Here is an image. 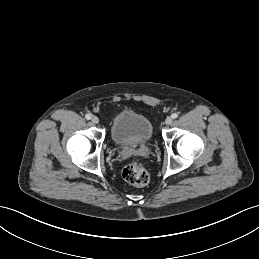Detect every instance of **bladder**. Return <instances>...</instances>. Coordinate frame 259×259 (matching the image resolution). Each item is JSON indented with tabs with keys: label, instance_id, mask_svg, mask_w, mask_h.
I'll return each mask as SVG.
<instances>
[{
	"label": "bladder",
	"instance_id": "obj_1",
	"mask_svg": "<svg viewBox=\"0 0 259 259\" xmlns=\"http://www.w3.org/2000/svg\"><path fill=\"white\" fill-rule=\"evenodd\" d=\"M153 136L150 120L133 111H121L111 123V137L118 146L137 147Z\"/></svg>",
	"mask_w": 259,
	"mask_h": 259
}]
</instances>
